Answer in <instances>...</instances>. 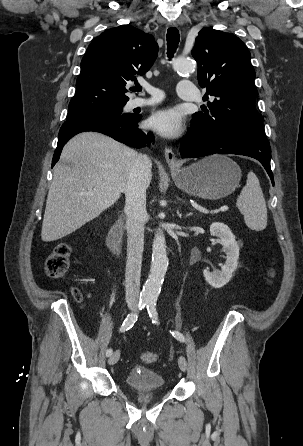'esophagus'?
Segmentation results:
<instances>
[{"instance_id": "esophagus-1", "label": "esophagus", "mask_w": 303, "mask_h": 446, "mask_svg": "<svg viewBox=\"0 0 303 446\" xmlns=\"http://www.w3.org/2000/svg\"><path fill=\"white\" fill-rule=\"evenodd\" d=\"M169 27H177L175 22H170ZM165 160L170 167H177L179 165L178 159L171 148L165 149Z\"/></svg>"}]
</instances>
